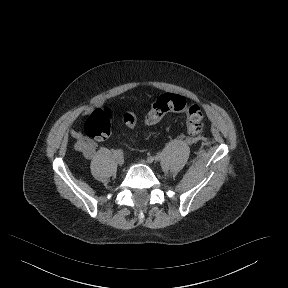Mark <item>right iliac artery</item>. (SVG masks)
<instances>
[{
	"instance_id": "right-iliac-artery-1",
	"label": "right iliac artery",
	"mask_w": 288,
	"mask_h": 288,
	"mask_svg": "<svg viewBox=\"0 0 288 288\" xmlns=\"http://www.w3.org/2000/svg\"><path fill=\"white\" fill-rule=\"evenodd\" d=\"M123 157V151L121 149H118L114 152V158L121 159Z\"/></svg>"
}]
</instances>
